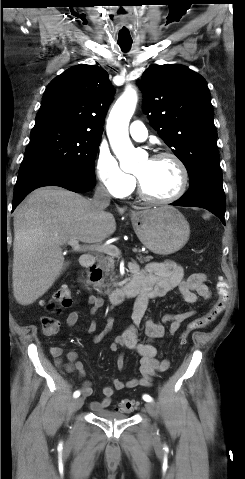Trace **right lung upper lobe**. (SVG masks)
Masks as SVG:
<instances>
[{"label": "right lung upper lobe", "mask_w": 245, "mask_h": 479, "mask_svg": "<svg viewBox=\"0 0 245 479\" xmlns=\"http://www.w3.org/2000/svg\"><path fill=\"white\" fill-rule=\"evenodd\" d=\"M113 94L101 67L74 66L47 86L34 128L57 126L101 136Z\"/></svg>", "instance_id": "cb5924a9"}]
</instances>
